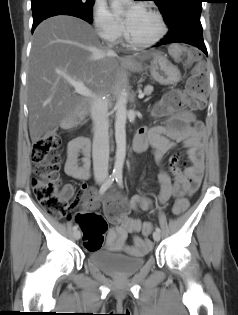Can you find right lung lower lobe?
I'll use <instances>...</instances> for the list:
<instances>
[{
    "label": "right lung lower lobe",
    "instance_id": "98d812e1",
    "mask_svg": "<svg viewBox=\"0 0 238 315\" xmlns=\"http://www.w3.org/2000/svg\"><path fill=\"white\" fill-rule=\"evenodd\" d=\"M33 25L32 33L35 28L45 19L56 15H70L81 18L88 23H92V14L85 13L77 8L59 4H46L32 8Z\"/></svg>",
    "mask_w": 238,
    "mask_h": 315
}]
</instances>
